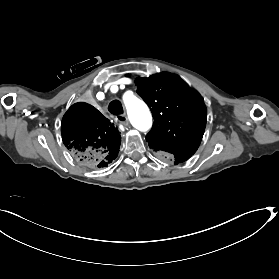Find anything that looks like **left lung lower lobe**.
<instances>
[{"instance_id":"obj_1","label":"left lung lower lobe","mask_w":279,"mask_h":279,"mask_svg":"<svg viewBox=\"0 0 279 279\" xmlns=\"http://www.w3.org/2000/svg\"><path fill=\"white\" fill-rule=\"evenodd\" d=\"M192 155H185V154H177L173 155L172 157L174 158L175 164L182 163L189 159Z\"/></svg>"}]
</instances>
